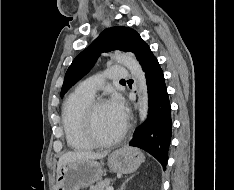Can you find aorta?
<instances>
[{
    "label": "aorta",
    "mask_w": 234,
    "mask_h": 190,
    "mask_svg": "<svg viewBox=\"0 0 234 190\" xmlns=\"http://www.w3.org/2000/svg\"><path fill=\"white\" fill-rule=\"evenodd\" d=\"M115 58L131 72L138 85L139 117L141 121H144L148 114V92L145 74L133 55L116 52Z\"/></svg>",
    "instance_id": "1"
}]
</instances>
